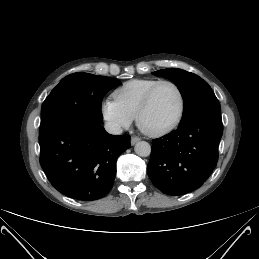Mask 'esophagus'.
Here are the masks:
<instances>
[{"instance_id": "1", "label": "esophagus", "mask_w": 259, "mask_h": 259, "mask_svg": "<svg viewBox=\"0 0 259 259\" xmlns=\"http://www.w3.org/2000/svg\"><path fill=\"white\" fill-rule=\"evenodd\" d=\"M139 141H140V138H138V137H131V145H135Z\"/></svg>"}]
</instances>
